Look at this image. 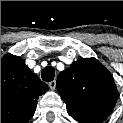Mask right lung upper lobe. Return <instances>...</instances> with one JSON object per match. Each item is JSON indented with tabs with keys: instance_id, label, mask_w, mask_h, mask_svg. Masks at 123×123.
<instances>
[{
	"instance_id": "obj_1",
	"label": "right lung upper lobe",
	"mask_w": 123,
	"mask_h": 123,
	"mask_svg": "<svg viewBox=\"0 0 123 123\" xmlns=\"http://www.w3.org/2000/svg\"><path fill=\"white\" fill-rule=\"evenodd\" d=\"M46 83L32 73L19 56L1 58V123H25L36 110Z\"/></svg>"
}]
</instances>
